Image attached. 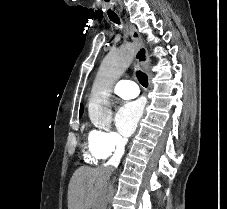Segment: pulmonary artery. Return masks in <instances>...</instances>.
<instances>
[{
  "label": "pulmonary artery",
  "mask_w": 227,
  "mask_h": 209,
  "mask_svg": "<svg viewBox=\"0 0 227 209\" xmlns=\"http://www.w3.org/2000/svg\"><path fill=\"white\" fill-rule=\"evenodd\" d=\"M132 81L130 80H122L119 81L115 87L113 92L120 96L123 99H131L138 95L137 84H127Z\"/></svg>",
  "instance_id": "pulmonary-artery-1"
}]
</instances>
